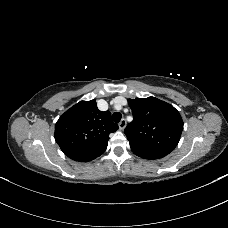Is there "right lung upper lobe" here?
I'll list each match as a JSON object with an SVG mask.
<instances>
[{"label": "right lung upper lobe", "mask_w": 228, "mask_h": 228, "mask_svg": "<svg viewBox=\"0 0 228 228\" xmlns=\"http://www.w3.org/2000/svg\"><path fill=\"white\" fill-rule=\"evenodd\" d=\"M117 129L111 113L98 110L95 100L80 101L57 121L55 140L66 156L88 162L103 154L109 134Z\"/></svg>", "instance_id": "1"}]
</instances>
